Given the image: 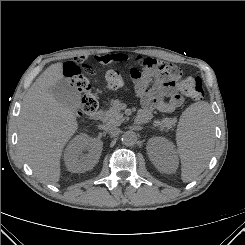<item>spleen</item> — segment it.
<instances>
[{"instance_id": "obj_1", "label": "spleen", "mask_w": 245, "mask_h": 245, "mask_svg": "<svg viewBox=\"0 0 245 245\" xmlns=\"http://www.w3.org/2000/svg\"><path fill=\"white\" fill-rule=\"evenodd\" d=\"M213 114L208 102H196L182 113L176 142L181 159V178L190 182L207 166L213 149Z\"/></svg>"}]
</instances>
